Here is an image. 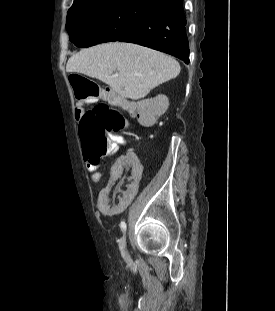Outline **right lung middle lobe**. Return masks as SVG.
<instances>
[{
	"label": "right lung middle lobe",
	"instance_id": "dd1d6c3e",
	"mask_svg": "<svg viewBox=\"0 0 275 311\" xmlns=\"http://www.w3.org/2000/svg\"><path fill=\"white\" fill-rule=\"evenodd\" d=\"M158 0H83L68 11L66 28L78 47L116 41L138 19L160 5Z\"/></svg>",
	"mask_w": 275,
	"mask_h": 311
}]
</instances>
